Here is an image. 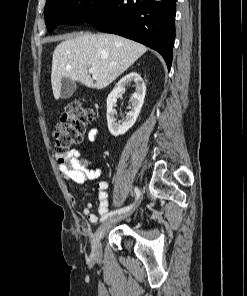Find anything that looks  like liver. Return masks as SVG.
<instances>
[{
	"label": "liver",
	"mask_w": 247,
	"mask_h": 296,
	"mask_svg": "<svg viewBox=\"0 0 247 296\" xmlns=\"http://www.w3.org/2000/svg\"><path fill=\"white\" fill-rule=\"evenodd\" d=\"M146 51L144 45L114 34L66 36L53 53L51 84L54 98H60L64 77L89 88L107 87ZM91 67L97 69L93 78L88 71Z\"/></svg>",
	"instance_id": "liver-1"
}]
</instances>
